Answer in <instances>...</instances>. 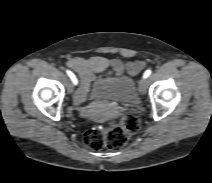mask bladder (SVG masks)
I'll use <instances>...</instances> for the list:
<instances>
[{"instance_id": "obj_1", "label": "bladder", "mask_w": 212, "mask_h": 183, "mask_svg": "<svg viewBox=\"0 0 212 183\" xmlns=\"http://www.w3.org/2000/svg\"><path fill=\"white\" fill-rule=\"evenodd\" d=\"M90 98L113 99L126 104H133L136 101V84L129 76L115 78H98L93 83Z\"/></svg>"}]
</instances>
